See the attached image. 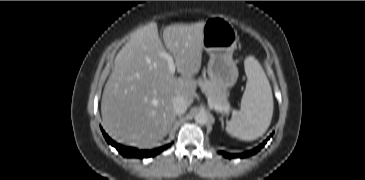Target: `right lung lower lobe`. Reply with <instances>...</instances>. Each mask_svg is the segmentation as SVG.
I'll return each instance as SVG.
<instances>
[{
  "instance_id": "right-lung-lower-lobe-1",
  "label": "right lung lower lobe",
  "mask_w": 365,
  "mask_h": 180,
  "mask_svg": "<svg viewBox=\"0 0 365 180\" xmlns=\"http://www.w3.org/2000/svg\"><path fill=\"white\" fill-rule=\"evenodd\" d=\"M101 130H102V133H103L105 139L107 140V142L109 144H111L112 146H114L124 157H137V158L151 157V156H155V155L159 154L166 148L170 147V145H167V146L159 147V148L153 149V150H138L136 148L126 147V146L117 144L116 142L111 140L110 137H108V135L104 132V130L102 128H101Z\"/></svg>"
}]
</instances>
